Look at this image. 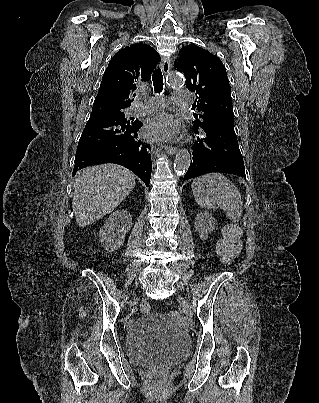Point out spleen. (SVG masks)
<instances>
[{
	"label": "spleen",
	"mask_w": 319,
	"mask_h": 403,
	"mask_svg": "<svg viewBox=\"0 0 319 403\" xmlns=\"http://www.w3.org/2000/svg\"><path fill=\"white\" fill-rule=\"evenodd\" d=\"M192 192L202 208H222L232 222H238L243 213L241 194L235 184L220 173H209L194 179Z\"/></svg>",
	"instance_id": "1"
}]
</instances>
